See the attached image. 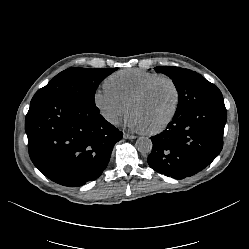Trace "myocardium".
Returning a JSON list of instances; mask_svg holds the SVG:
<instances>
[{"label": "myocardium", "mask_w": 249, "mask_h": 249, "mask_svg": "<svg viewBox=\"0 0 249 249\" xmlns=\"http://www.w3.org/2000/svg\"><path fill=\"white\" fill-rule=\"evenodd\" d=\"M164 81L170 83L174 89L175 105H174V108H173L171 114L160 125H158L157 127L153 128V129L146 131V133H148V134H158L160 132H163L166 128H168L172 124V122L176 118L178 111H179V108H180V104H181V92H180L178 84L176 83V81L172 77L161 75V76L156 77V78L148 81L147 83H145L139 90H137L131 96V98L127 102L128 107H130V105L134 101L140 99L145 94H147L149 92V90H151L156 84H158L160 82H164Z\"/></svg>", "instance_id": "f54148a6"}]
</instances>
